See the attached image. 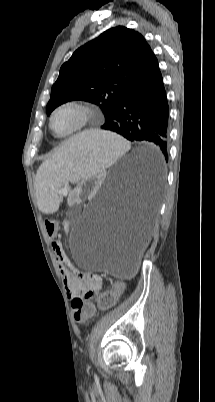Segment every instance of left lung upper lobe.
Returning <instances> with one entry per match:
<instances>
[{
	"label": "left lung upper lobe",
	"instance_id": "5c2ea615",
	"mask_svg": "<svg viewBox=\"0 0 215 402\" xmlns=\"http://www.w3.org/2000/svg\"><path fill=\"white\" fill-rule=\"evenodd\" d=\"M157 59L144 37L126 27H115L78 48L62 65L52 86L47 115L59 105L85 100L102 109L106 121L132 86Z\"/></svg>",
	"mask_w": 215,
	"mask_h": 402
}]
</instances>
